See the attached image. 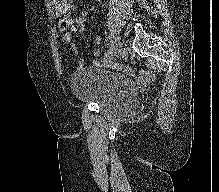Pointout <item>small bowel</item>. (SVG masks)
<instances>
[{
  "instance_id": "obj_1",
  "label": "small bowel",
  "mask_w": 219,
  "mask_h": 192,
  "mask_svg": "<svg viewBox=\"0 0 219 192\" xmlns=\"http://www.w3.org/2000/svg\"><path fill=\"white\" fill-rule=\"evenodd\" d=\"M72 1V0H69ZM72 11H75V7L68 4L65 0V3L62 7L56 8V16L59 20V26L61 31L65 32L64 39L69 44L71 50L78 54L79 49L78 46L72 41V36L75 33L83 34L85 31V25L88 18V13L86 11H82L79 15L75 17H70V13ZM102 41L101 37L97 36L95 38V42L97 44H100ZM93 56L95 57L94 64L96 66H99L102 61L100 59L101 56V50L95 49L93 51ZM84 63V60H81V64ZM151 77V74L148 72L142 73L140 76L141 80H147Z\"/></svg>"
}]
</instances>
